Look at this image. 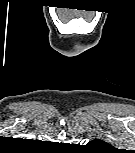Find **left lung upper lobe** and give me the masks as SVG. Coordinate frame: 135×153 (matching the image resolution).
<instances>
[{
    "label": "left lung upper lobe",
    "mask_w": 135,
    "mask_h": 153,
    "mask_svg": "<svg viewBox=\"0 0 135 153\" xmlns=\"http://www.w3.org/2000/svg\"><path fill=\"white\" fill-rule=\"evenodd\" d=\"M91 146L96 148H104V147H110L108 143L104 142L100 139H95L89 143Z\"/></svg>",
    "instance_id": "5c2ea615"
}]
</instances>
